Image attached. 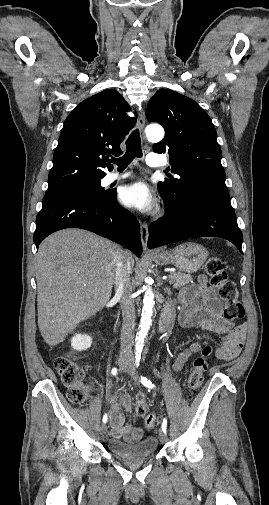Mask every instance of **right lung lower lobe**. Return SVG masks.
Returning <instances> with one entry per match:
<instances>
[{"label": "right lung lower lobe", "instance_id": "1", "mask_svg": "<svg viewBox=\"0 0 269 505\" xmlns=\"http://www.w3.org/2000/svg\"><path fill=\"white\" fill-rule=\"evenodd\" d=\"M42 203L33 235L37 248L55 231L81 228L127 247L138 257L141 255L139 223L133 214L118 204L116 192L101 199L84 193H57L45 195Z\"/></svg>", "mask_w": 269, "mask_h": 505}]
</instances>
